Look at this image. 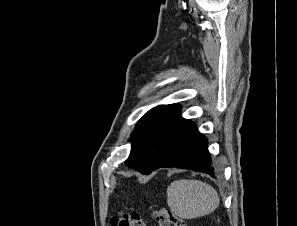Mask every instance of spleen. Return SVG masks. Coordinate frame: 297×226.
I'll list each match as a JSON object with an SVG mask.
<instances>
[{"instance_id":"1","label":"spleen","mask_w":297,"mask_h":226,"mask_svg":"<svg viewBox=\"0 0 297 226\" xmlns=\"http://www.w3.org/2000/svg\"><path fill=\"white\" fill-rule=\"evenodd\" d=\"M220 203L217 191L195 179L173 181L167 188V204L182 219H194L213 212Z\"/></svg>"}]
</instances>
